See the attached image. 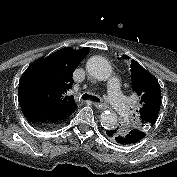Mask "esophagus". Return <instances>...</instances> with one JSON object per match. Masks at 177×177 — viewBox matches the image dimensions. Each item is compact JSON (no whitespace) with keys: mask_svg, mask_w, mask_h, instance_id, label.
<instances>
[{"mask_svg":"<svg viewBox=\"0 0 177 177\" xmlns=\"http://www.w3.org/2000/svg\"><path fill=\"white\" fill-rule=\"evenodd\" d=\"M93 104L98 109H106L107 108V105L105 103H102V102L94 101Z\"/></svg>","mask_w":177,"mask_h":177,"instance_id":"34e87169","label":"esophagus"}]
</instances>
